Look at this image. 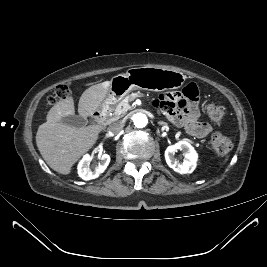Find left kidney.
<instances>
[{
    "label": "left kidney",
    "instance_id": "obj_1",
    "mask_svg": "<svg viewBox=\"0 0 267 267\" xmlns=\"http://www.w3.org/2000/svg\"><path fill=\"white\" fill-rule=\"evenodd\" d=\"M177 150L182 151L184 155L183 163L175 158V152ZM198 155L195 149L187 141H179L174 145H170L165 150V160L170 168L180 174L192 173L196 168Z\"/></svg>",
    "mask_w": 267,
    "mask_h": 267
}]
</instances>
